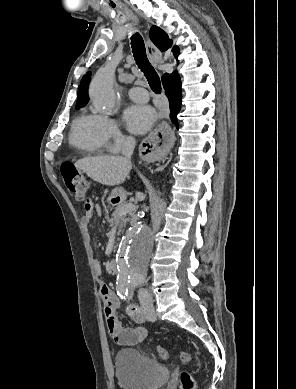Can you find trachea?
Listing matches in <instances>:
<instances>
[{
  "label": "trachea",
  "instance_id": "1",
  "mask_svg": "<svg viewBox=\"0 0 296 389\" xmlns=\"http://www.w3.org/2000/svg\"><path fill=\"white\" fill-rule=\"evenodd\" d=\"M132 52L138 68L144 73L145 77L148 80V83L151 89L156 93H161V82L160 78L157 75L155 69L149 62L147 55L144 40L136 33L131 37Z\"/></svg>",
  "mask_w": 296,
  "mask_h": 389
}]
</instances>
